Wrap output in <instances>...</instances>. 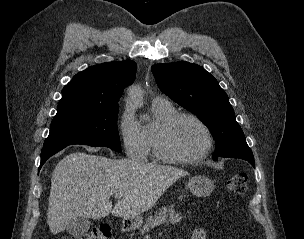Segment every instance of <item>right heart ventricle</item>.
Here are the masks:
<instances>
[{"label": "right heart ventricle", "mask_w": 304, "mask_h": 239, "mask_svg": "<svg viewBox=\"0 0 304 239\" xmlns=\"http://www.w3.org/2000/svg\"><path fill=\"white\" fill-rule=\"evenodd\" d=\"M150 109L153 115V121L143 127L147 144V154H149L154 161H161L155 149L157 133L161 125L170 116L175 114L177 110L172 103L164 99L153 100Z\"/></svg>", "instance_id": "e07e8e85"}]
</instances>
